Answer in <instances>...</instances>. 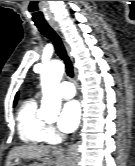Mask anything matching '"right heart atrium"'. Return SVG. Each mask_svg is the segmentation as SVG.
<instances>
[{
	"label": "right heart atrium",
	"instance_id": "d8ad5b80",
	"mask_svg": "<svg viewBox=\"0 0 135 166\" xmlns=\"http://www.w3.org/2000/svg\"><path fill=\"white\" fill-rule=\"evenodd\" d=\"M46 137L49 142H55L60 139L59 134L52 125H47L46 127Z\"/></svg>",
	"mask_w": 135,
	"mask_h": 166
}]
</instances>
